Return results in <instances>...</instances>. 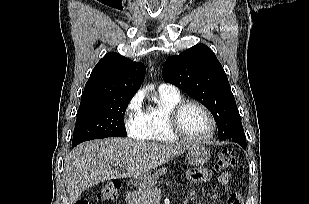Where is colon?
I'll return each instance as SVG.
<instances>
[{
    "mask_svg": "<svg viewBox=\"0 0 309 204\" xmlns=\"http://www.w3.org/2000/svg\"><path fill=\"white\" fill-rule=\"evenodd\" d=\"M236 164V158L234 155L227 149L222 150L218 154L216 167L218 169H228L233 167ZM119 194V185L116 182H107L105 183L100 192L99 198L102 201H112L118 197ZM232 201L235 204H241L238 198H232ZM74 204H89V201L85 198L77 200Z\"/></svg>",
    "mask_w": 309,
    "mask_h": 204,
    "instance_id": "colon-1",
    "label": "colon"
}]
</instances>
